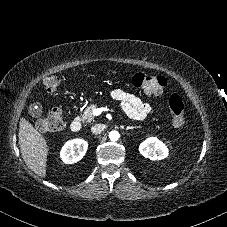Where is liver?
<instances>
[{
  "label": "liver",
  "mask_w": 227,
  "mask_h": 227,
  "mask_svg": "<svg viewBox=\"0 0 227 227\" xmlns=\"http://www.w3.org/2000/svg\"><path fill=\"white\" fill-rule=\"evenodd\" d=\"M19 146L26 165L35 174L46 177L48 146L45 138L25 118L19 123Z\"/></svg>",
  "instance_id": "obj_1"
}]
</instances>
